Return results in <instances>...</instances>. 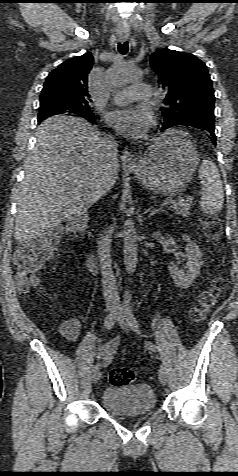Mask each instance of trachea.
Instances as JSON below:
<instances>
[{"label": "trachea", "mask_w": 238, "mask_h": 476, "mask_svg": "<svg viewBox=\"0 0 238 476\" xmlns=\"http://www.w3.org/2000/svg\"><path fill=\"white\" fill-rule=\"evenodd\" d=\"M128 42H124V43H119L118 44V51L121 53V54H126L128 52Z\"/></svg>", "instance_id": "trachea-1"}]
</instances>
